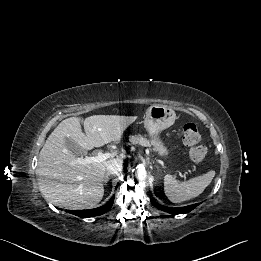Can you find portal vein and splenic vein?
Masks as SVG:
<instances>
[{
	"instance_id": "portal-vein-and-splenic-vein-1",
	"label": "portal vein and splenic vein",
	"mask_w": 261,
	"mask_h": 261,
	"mask_svg": "<svg viewBox=\"0 0 261 261\" xmlns=\"http://www.w3.org/2000/svg\"><path fill=\"white\" fill-rule=\"evenodd\" d=\"M114 157V153H98L96 156L77 158L76 163L78 164H90L95 162H103L109 158ZM182 176V175H181ZM182 177H185L184 175Z\"/></svg>"
}]
</instances>
